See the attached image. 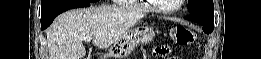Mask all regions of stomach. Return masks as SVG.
<instances>
[{
	"instance_id": "0dacf381",
	"label": "stomach",
	"mask_w": 261,
	"mask_h": 59,
	"mask_svg": "<svg viewBox=\"0 0 261 59\" xmlns=\"http://www.w3.org/2000/svg\"><path fill=\"white\" fill-rule=\"evenodd\" d=\"M154 38V31L147 26H139L129 30L118 39L101 59H122L131 54L139 45L149 44Z\"/></svg>"
}]
</instances>
